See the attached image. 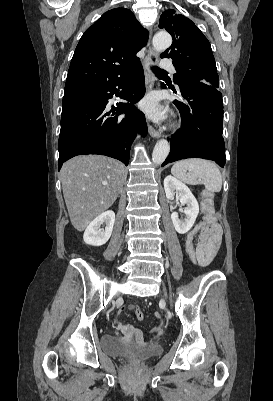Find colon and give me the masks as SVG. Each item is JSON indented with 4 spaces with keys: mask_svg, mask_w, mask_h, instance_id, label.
I'll list each match as a JSON object with an SVG mask.
<instances>
[{
    "mask_svg": "<svg viewBox=\"0 0 273 401\" xmlns=\"http://www.w3.org/2000/svg\"><path fill=\"white\" fill-rule=\"evenodd\" d=\"M202 230L204 232L201 233V240L202 241H219L220 240V233H219V225L217 224L215 218L211 215H207L204 218V221L200 224ZM135 315L138 320L143 318V307L137 306L135 310Z\"/></svg>",
    "mask_w": 273,
    "mask_h": 401,
    "instance_id": "5ec220e1",
    "label": "colon"
}]
</instances>
